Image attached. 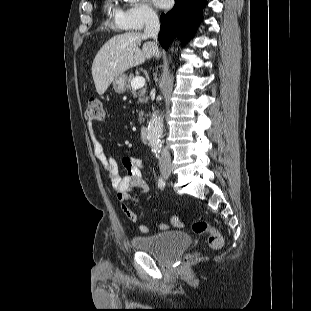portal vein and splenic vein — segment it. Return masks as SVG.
I'll return each mask as SVG.
<instances>
[{
    "mask_svg": "<svg viewBox=\"0 0 311 311\" xmlns=\"http://www.w3.org/2000/svg\"><path fill=\"white\" fill-rule=\"evenodd\" d=\"M131 85L134 89H139L145 85V79L137 76L132 80Z\"/></svg>",
    "mask_w": 311,
    "mask_h": 311,
    "instance_id": "1",
    "label": "portal vein and splenic vein"
}]
</instances>
